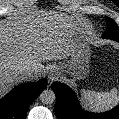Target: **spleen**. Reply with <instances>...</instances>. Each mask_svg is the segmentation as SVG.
Segmentation results:
<instances>
[{"mask_svg": "<svg viewBox=\"0 0 119 119\" xmlns=\"http://www.w3.org/2000/svg\"><path fill=\"white\" fill-rule=\"evenodd\" d=\"M81 100L87 109L95 112H104L112 109L119 103V94L116 88H113L110 92L81 90Z\"/></svg>", "mask_w": 119, "mask_h": 119, "instance_id": "obj_1", "label": "spleen"}]
</instances>
